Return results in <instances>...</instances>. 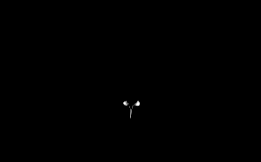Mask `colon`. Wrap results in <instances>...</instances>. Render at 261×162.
<instances>
[{
  "mask_svg": "<svg viewBox=\"0 0 261 162\" xmlns=\"http://www.w3.org/2000/svg\"><path fill=\"white\" fill-rule=\"evenodd\" d=\"M116 30V25L112 22L105 23L102 27L95 29L92 32V36L95 40L101 42L103 46L107 45L108 40L112 38ZM153 34L160 40V42H167L173 36V31L163 25L156 23L153 25ZM94 57L91 49L88 46H84L82 49V61L84 64L92 63ZM205 79V77H202Z\"/></svg>",
  "mask_w": 261,
  "mask_h": 162,
  "instance_id": "colon-1",
  "label": "colon"
}]
</instances>
